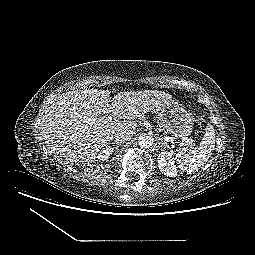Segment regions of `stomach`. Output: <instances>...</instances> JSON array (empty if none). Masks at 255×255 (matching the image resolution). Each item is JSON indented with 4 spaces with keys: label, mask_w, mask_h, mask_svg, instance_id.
Instances as JSON below:
<instances>
[{
    "label": "stomach",
    "mask_w": 255,
    "mask_h": 255,
    "mask_svg": "<svg viewBox=\"0 0 255 255\" xmlns=\"http://www.w3.org/2000/svg\"><path fill=\"white\" fill-rule=\"evenodd\" d=\"M155 113L166 131L176 138H185L192 133L193 116L174 99L155 108Z\"/></svg>",
    "instance_id": "1"
}]
</instances>
